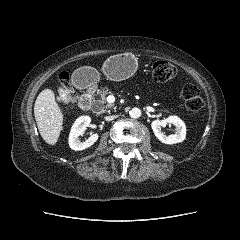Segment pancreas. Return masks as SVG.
<instances>
[{
    "label": "pancreas",
    "mask_w": 240,
    "mask_h": 240,
    "mask_svg": "<svg viewBox=\"0 0 240 240\" xmlns=\"http://www.w3.org/2000/svg\"><path fill=\"white\" fill-rule=\"evenodd\" d=\"M110 93L111 92L107 88H101L97 90V95L99 98L93 101V110L96 113H104L114 107V104H109L106 101V96Z\"/></svg>",
    "instance_id": "1"
}]
</instances>
